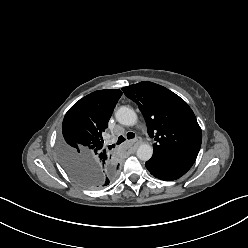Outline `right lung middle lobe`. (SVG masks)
<instances>
[{
	"instance_id": "obj_1",
	"label": "right lung middle lobe",
	"mask_w": 248,
	"mask_h": 248,
	"mask_svg": "<svg viewBox=\"0 0 248 248\" xmlns=\"http://www.w3.org/2000/svg\"><path fill=\"white\" fill-rule=\"evenodd\" d=\"M59 155L66 172L78 184L92 188L102 184L103 175L98 168L88 165L81 157L71 155L66 158L63 155V138L59 142ZM66 159L68 160L67 163L65 162Z\"/></svg>"
}]
</instances>
